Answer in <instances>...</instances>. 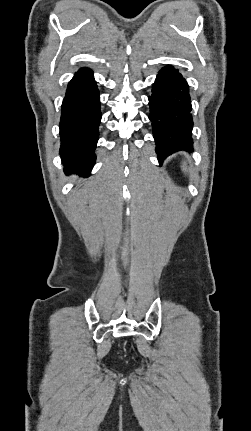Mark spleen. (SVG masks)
I'll list each match as a JSON object with an SVG mask.
<instances>
[{
	"label": "spleen",
	"instance_id": "obj_1",
	"mask_svg": "<svg viewBox=\"0 0 251 431\" xmlns=\"http://www.w3.org/2000/svg\"><path fill=\"white\" fill-rule=\"evenodd\" d=\"M182 170H183V171H186V167H185V166H182Z\"/></svg>",
	"mask_w": 251,
	"mask_h": 431
}]
</instances>
